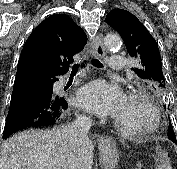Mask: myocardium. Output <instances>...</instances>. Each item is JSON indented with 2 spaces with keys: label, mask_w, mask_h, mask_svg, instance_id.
Returning <instances> with one entry per match:
<instances>
[{
  "label": "myocardium",
  "mask_w": 177,
  "mask_h": 169,
  "mask_svg": "<svg viewBox=\"0 0 177 169\" xmlns=\"http://www.w3.org/2000/svg\"><path fill=\"white\" fill-rule=\"evenodd\" d=\"M127 99L138 100L143 103L150 113L151 121L148 126L140 128H129L119 123L115 118L113 124L116 129L124 135L129 136H145L154 133L160 126V112L156 105L151 101L148 95L142 91L132 90L126 94Z\"/></svg>",
  "instance_id": "1"
}]
</instances>
